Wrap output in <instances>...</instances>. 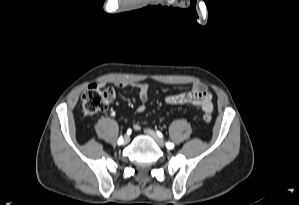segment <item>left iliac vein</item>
<instances>
[{
  "mask_svg": "<svg viewBox=\"0 0 299 205\" xmlns=\"http://www.w3.org/2000/svg\"><path fill=\"white\" fill-rule=\"evenodd\" d=\"M144 132L150 136L160 147H164L165 146V142L164 140L158 135L156 134L152 129H145Z\"/></svg>",
  "mask_w": 299,
  "mask_h": 205,
  "instance_id": "4c4485c4",
  "label": "left iliac vein"
}]
</instances>
